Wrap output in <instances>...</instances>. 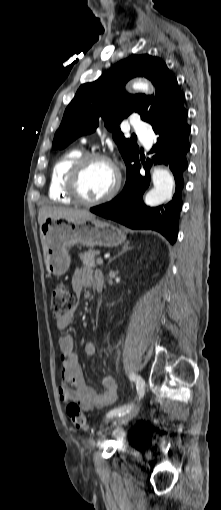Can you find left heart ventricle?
<instances>
[{"label": "left heart ventricle", "instance_id": "b2bd125f", "mask_svg": "<svg viewBox=\"0 0 221 510\" xmlns=\"http://www.w3.org/2000/svg\"><path fill=\"white\" fill-rule=\"evenodd\" d=\"M115 180V171L109 163L93 161L84 170L80 180V190L84 198L98 199L113 188Z\"/></svg>", "mask_w": 221, "mask_h": 510}]
</instances>
